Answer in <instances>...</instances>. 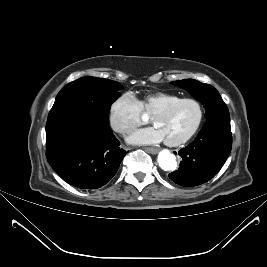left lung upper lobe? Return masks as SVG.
I'll return each instance as SVG.
<instances>
[{
  "instance_id": "left-lung-upper-lobe-1",
  "label": "left lung upper lobe",
  "mask_w": 267,
  "mask_h": 267,
  "mask_svg": "<svg viewBox=\"0 0 267 267\" xmlns=\"http://www.w3.org/2000/svg\"><path fill=\"white\" fill-rule=\"evenodd\" d=\"M172 84L186 89L194 98L205 107L207 119L229 116V111L219 92L211 85L193 79L173 81Z\"/></svg>"
}]
</instances>
